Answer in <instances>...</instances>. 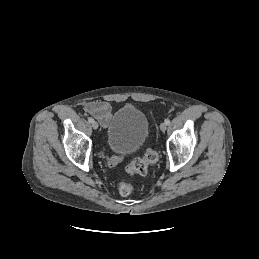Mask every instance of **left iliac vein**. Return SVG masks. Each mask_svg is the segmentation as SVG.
<instances>
[{
  "mask_svg": "<svg viewBox=\"0 0 259 259\" xmlns=\"http://www.w3.org/2000/svg\"><path fill=\"white\" fill-rule=\"evenodd\" d=\"M167 129V124L165 122L161 123L160 130L164 132Z\"/></svg>",
  "mask_w": 259,
  "mask_h": 259,
  "instance_id": "obj_1",
  "label": "left iliac vein"
}]
</instances>
